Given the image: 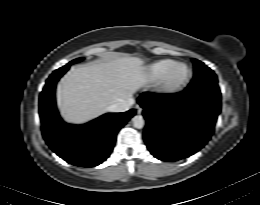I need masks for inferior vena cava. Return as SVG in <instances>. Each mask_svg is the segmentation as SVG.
<instances>
[{"label": "inferior vena cava", "instance_id": "obj_1", "mask_svg": "<svg viewBox=\"0 0 260 205\" xmlns=\"http://www.w3.org/2000/svg\"><path fill=\"white\" fill-rule=\"evenodd\" d=\"M134 104L133 99L123 100L121 102L114 103L107 107L109 112H124L130 109L131 105Z\"/></svg>", "mask_w": 260, "mask_h": 205}]
</instances>
